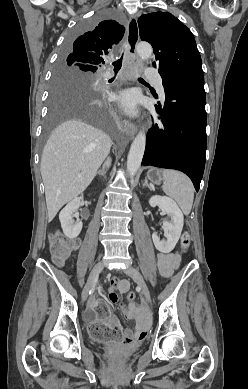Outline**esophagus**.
Returning a JSON list of instances; mask_svg holds the SVG:
<instances>
[{
    "instance_id": "esophagus-1",
    "label": "esophagus",
    "mask_w": 248,
    "mask_h": 389,
    "mask_svg": "<svg viewBox=\"0 0 248 389\" xmlns=\"http://www.w3.org/2000/svg\"><path fill=\"white\" fill-rule=\"evenodd\" d=\"M126 32H127V50L129 53V56L131 57V63L133 65V68H141V60L137 55L136 47L137 43L139 41V29L137 24V19L135 16L130 15L129 20L126 26ZM124 130L126 135L129 138H133L134 135L137 132V126L128 121H124Z\"/></svg>"
}]
</instances>
